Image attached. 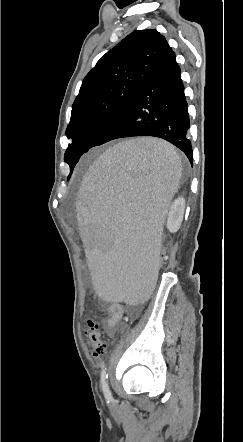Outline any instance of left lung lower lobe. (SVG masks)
<instances>
[{"mask_svg":"<svg viewBox=\"0 0 243 442\" xmlns=\"http://www.w3.org/2000/svg\"><path fill=\"white\" fill-rule=\"evenodd\" d=\"M189 127L188 104L180 68L174 52L167 45L135 94L95 146L118 138L153 136L181 149L193 164L192 146L187 135Z\"/></svg>","mask_w":243,"mask_h":442,"instance_id":"left-lung-lower-lobe-1","label":"left lung lower lobe"}]
</instances>
